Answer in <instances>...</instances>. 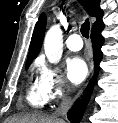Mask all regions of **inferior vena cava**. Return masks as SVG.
<instances>
[{
	"label": "inferior vena cava",
	"mask_w": 118,
	"mask_h": 123,
	"mask_svg": "<svg viewBox=\"0 0 118 123\" xmlns=\"http://www.w3.org/2000/svg\"><path fill=\"white\" fill-rule=\"evenodd\" d=\"M70 106H71V99L64 94L62 101L58 106V108H56L53 116L56 119L61 120L59 117L65 116Z\"/></svg>",
	"instance_id": "obj_1"
}]
</instances>
